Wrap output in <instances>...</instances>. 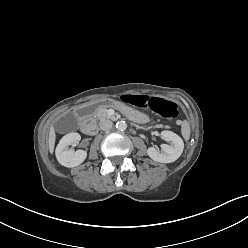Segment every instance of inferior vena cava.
<instances>
[{
	"mask_svg": "<svg viewBox=\"0 0 248 248\" xmlns=\"http://www.w3.org/2000/svg\"><path fill=\"white\" fill-rule=\"evenodd\" d=\"M112 125H113L112 121H110V120H104V121H102L100 123V128L102 130L106 131V130L111 129L112 128Z\"/></svg>",
	"mask_w": 248,
	"mask_h": 248,
	"instance_id": "602c4592",
	"label": "inferior vena cava"
}]
</instances>
